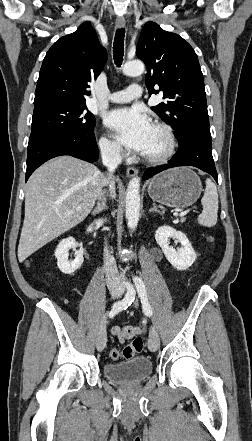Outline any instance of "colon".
Instances as JSON below:
<instances>
[{
    "instance_id": "5ec220e1",
    "label": "colon",
    "mask_w": 252,
    "mask_h": 441,
    "mask_svg": "<svg viewBox=\"0 0 252 441\" xmlns=\"http://www.w3.org/2000/svg\"><path fill=\"white\" fill-rule=\"evenodd\" d=\"M144 348L143 339L140 336L135 337L131 343L123 349L114 348L110 351L109 356L112 360L117 361L121 358L129 359L140 353Z\"/></svg>"
}]
</instances>
